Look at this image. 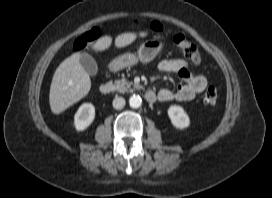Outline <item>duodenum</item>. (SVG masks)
Returning <instances> with one entry per match:
<instances>
[{
  "label": "duodenum",
  "instance_id": "1",
  "mask_svg": "<svg viewBox=\"0 0 272 198\" xmlns=\"http://www.w3.org/2000/svg\"><path fill=\"white\" fill-rule=\"evenodd\" d=\"M100 93L101 94H104V95H109V94H112L113 91H114V86L112 84H109V83H104L100 86ZM156 94L153 92V91H147L145 93V99L147 102H155L156 101Z\"/></svg>",
  "mask_w": 272,
  "mask_h": 198
}]
</instances>
